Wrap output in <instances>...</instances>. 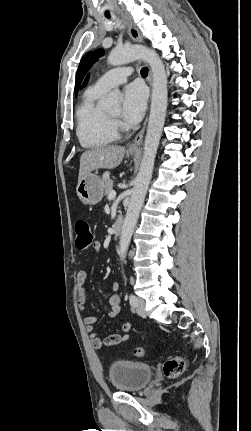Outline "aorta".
<instances>
[{"label":"aorta","instance_id":"obj_1","mask_svg":"<svg viewBox=\"0 0 251 431\" xmlns=\"http://www.w3.org/2000/svg\"><path fill=\"white\" fill-rule=\"evenodd\" d=\"M138 59L150 65L153 74V89L149 122L144 142V155L135 185L132 189L131 200L119 241V253L122 260H124L128 251L131 237L152 178L155 157L165 123L168 99L165 67L155 51L141 45L115 48L108 56V63L113 66H118ZM117 105L118 101L114 93L109 94L103 102L105 108H111Z\"/></svg>","mask_w":251,"mask_h":431}]
</instances>
